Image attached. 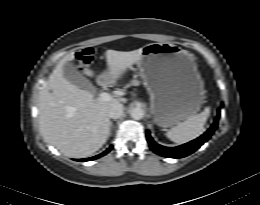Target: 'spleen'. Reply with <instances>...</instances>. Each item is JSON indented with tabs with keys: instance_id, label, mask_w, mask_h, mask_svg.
<instances>
[{
	"instance_id": "obj_1",
	"label": "spleen",
	"mask_w": 260,
	"mask_h": 205,
	"mask_svg": "<svg viewBox=\"0 0 260 205\" xmlns=\"http://www.w3.org/2000/svg\"><path fill=\"white\" fill-rule=\"evenodd\" d=\"M210 115V108L206 107L196 114L170 129L166 136L177 144L189 142L203 133L204 125Z\"/></svg>"
}]
</instances>
